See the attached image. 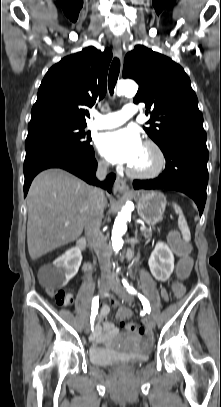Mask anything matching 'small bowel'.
<instances>
[{"instance_id":"small-bowel-1","label":"small bowel","mask_w":221,"mask_h":407,"mask_svg":"<svg viewBox=\"0 0 221 407\" xmlns=\"http://www.w3.org/2000/svg\"><path fill=\"white\" fill-rule=\"evenodd\" d=\"M71 295V294H70ZM72 297V295H71ZM162 297L164 300L168 299V294L165 289L162 290ZM120 304L117 300H113L111 305H103L99 312V322L95 328V334L92 340L97 343H105L110 339L119 335V328L115 326L112 322L107 320V316L110 312L111 307H118ZM132 313V311L130 312ZM138 326H141L138 324ZM133 332V330H130ZM134 336V335H133ZM141 335L134 336V338H139Z\"/></svg>"}]
</instances>
